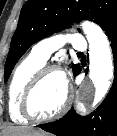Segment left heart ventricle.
Returning a JSON list of instances; mask_svg holds the SVG:
<instances>
[{"instance_id": "b2bd125f", "label": "left heart ventricle", "mask_w": 117, "mask_h": 136, "mask_svg": "<svg viewBox=\"0 0 117 136\" xmlns=\"http://www.w3.org/2000/svg\"><path fill=\"white\" fill-rule=\"evenodd\" d=\"M66 95V82L60 73L46 76L36 88L31 109L37 116H49L55 113L63 104Z\"/></svg>"}]
</instances>
